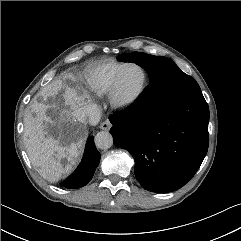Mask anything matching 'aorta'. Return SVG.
<instances>
[{
	"label": "aorta",
	"mask_w": 241,
	"mask_h": 241,
	"mask_svg": "<svg viewBox=\"0 0 241 241\" xmlns=\"http://www.w3.org/2000/svg\"><path fill=\"white\" fill-rule=\"evenodd\" d=\"M95 144L99 149L106 150L113 145V137L107 131H100L95 136Z\"/></svg>",
	"instance_id": "aorta-1"
}]
</instances>
